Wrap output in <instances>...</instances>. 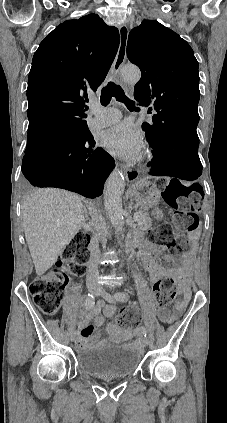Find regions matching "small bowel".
<instances>
[{
    "label": "small bowel",
    "instance_id": "obj_1",
    "mask_svg": "<svg viewBox=\"0 0 227 423\" xmlns=\"http://www.w3.org/2000/svg\"><path fill=\"white\" fill-rule=\"evenodd\" d=\"M147 249L156 250V247L152 245H148ZM141 262L144 267V269L149 274L150 282L155 284L158 280L165 277L167 275V271L165 268L157 265L155 263V259L150 254H144L141 256ZM180 269L183 271V268L180 266ZM179 286L180 291L183 295V298L181 300L176 301L174 308L172 311L169 309L167 310H160L158 311V316L161 321L164 323L170 324L174 322L176 319L180 317L182 312L184 311L186 304L189 300V293L187 290V278L186 274H183L179 279ZM116 308L113 305H106L103 302H98L96 305H94L88 314H86L80 321L79 327H80V336L77 340V346L79 348H85L94 342H96L99 338L98 329L101 327L106 326L110 336L114 340L118 341H124L129 340L134 337L141 336L142 331L141 329H135V330H123L118 328L117 326L107 323V319L111 318L115 314ZM146 318L152 319L154 317V312L152 310H148L146 312ZM109 340H106L105 342H108Z\"/></svg>",
    "mask_w": 227,
    "mask_h": 423
}]
</instances>
